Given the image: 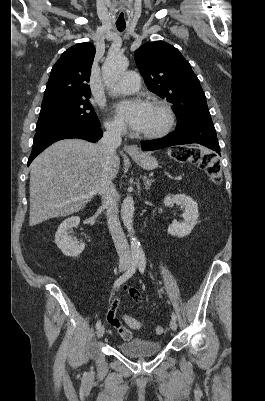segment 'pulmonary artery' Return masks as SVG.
Segmentation results:
<instances>
[{"label":"pulmonary artery","mask_w":265,"mask_h":401,"mask_svg":"<svg viewBox=\"0 0 265 401\" xmlns=\"http://www.w3.org/2000/svg\"><path fill=\"white\" fill-rule=\"evenodd\" d=\"M139 77L137 72H126L125 77H122V81H118L116 84L117 89L122 95H136L139 88Z\"/></svg>","instance_id":"pulmonary-artery-1"}]
</instances>
